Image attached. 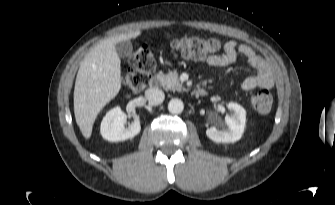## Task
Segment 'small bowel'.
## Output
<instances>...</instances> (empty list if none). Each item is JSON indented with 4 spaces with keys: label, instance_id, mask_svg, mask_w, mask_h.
Wrapping results in <instances>:
<instances>
[{
    "label": "small bowel",
    "instance_id": "small-bowel-1",
    "mask_svg": "<svg viewBox=\"0 0 335 205\" xmlns=\"http://www.w3.org/2000/svg\"><path fill=\"white\" fill-rule=\"evenodd\" d=\"M244 56L249 63L254 65L257 69L256 75L246 79L243 83L245 89H252L255 87H268L270 80L265 71L263 62L246 46L235 47L233 44H228L225 47V51L222 55H217L209 60V63L213 66H224L233 62L237 55Z\"/></svg>",
    "mask_w": 335,
    "mask_h": 205
}]
</instances>
